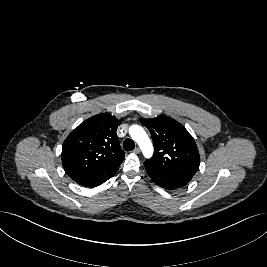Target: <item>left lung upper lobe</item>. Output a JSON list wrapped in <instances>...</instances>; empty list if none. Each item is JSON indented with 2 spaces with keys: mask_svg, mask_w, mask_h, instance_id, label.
I'll return each mask as SVG.
<instances>
[{
  "mask_svg": "<svg viewBox=\"0 0 267 267\" xmlns=\"http://www.w3.org/2000/svg\"><path fill=\"white\" fill-rule=\"evenodd\" d=\"M140 121L149 129L155 148L152 158L144 163L156 171L190 181L199 168L200 156L185 127L167 116Z\"/></svg>",
  "mask_w": 267,
  "mask_h": 267,
  "instance_id": "1",
  "label": "left lung upper lobe"
}]
</instances>
